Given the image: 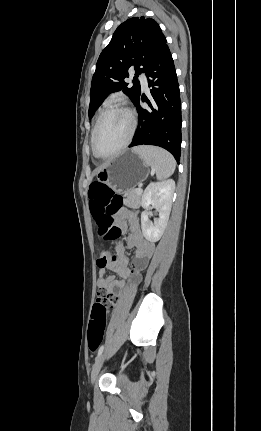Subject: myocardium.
<instances>
[{
  "label": "myocardium",
  "instance_id": "f54148a6",
  "mask_svg": "<svg viewBox=\"0 0 261 431\" xmlns=\"http://www.w3.org/2000/svg\"><path fill=\"white\" fill-rule=\"evenodd\" d=\"M113 109H121L128 114L129 119H130V130H129L127 138L125 139L123 144L117 150H115L114 152H112L110 154L102 155L97 150V135H98V131H99V128L101 126V123H102V120H103L105 114L107 112L113 110ZM136 126H137L136 115H135L134 111L129 106H127L123 103H112V104L106 106L100 112V114L97 118V121L95 123L93 134H92L91 146H92V150H93L94 155L98 158H101V159H108V158L114 157V156L118 155L119 153H121L122 151H124L132 141V138H133L135 130H136Z\"/></svg>",
  "mask_w": 261,
  "mask_h": 431
}]
</instances>
